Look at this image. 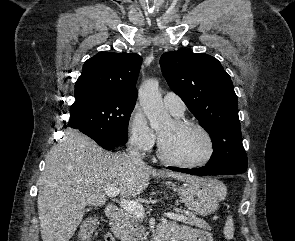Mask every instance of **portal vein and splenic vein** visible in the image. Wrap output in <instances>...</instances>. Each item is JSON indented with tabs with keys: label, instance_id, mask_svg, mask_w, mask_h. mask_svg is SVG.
I'll return each mask as SVG.
<instances>
[{
	"label": "portal vein and splenic vein",
	"instance_id": "1",
	"mask_svg": "<svg viewBox=\"0 0 295 241\" xmlns=\"http://www.w3.org/2000/svg\"><path fill=\"white\" fill-rule=\"evenodd\" d=\"M120 193V189L116 187H108L105 189V194L108 197H116ZM120 205L129 213L136 215L139 218L144 217V208L143 206L135 201H131L128 199H122L120 202ZM166 217L179 221V222H185L186 217L183 215L175 214V213H165Z\"/></svg>",
	"mask_w": 295,
	"mask_h": 241
}]
</instances>
